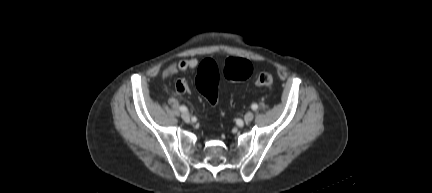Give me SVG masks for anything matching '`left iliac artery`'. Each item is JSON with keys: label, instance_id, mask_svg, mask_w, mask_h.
I'll list each match as a JSON object with an SVG mask.
<instances>
[{"label": "left iliac artery", "instance_id": "1", "mask_svg": "<svg viewBox=\"0 0 432 193\" xmlns=\"http://www.w3.org/2000/svg\"><path fill=\"white\" fill-rule=\"evenodd\" d=\"M251 108H252L253 110H257L258 105H257V104H252Z\"/></svg>", "mask_w": 432, "mask_h": 193}]
</instances>
